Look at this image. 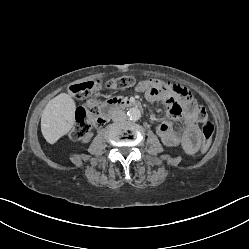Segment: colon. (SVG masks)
<instances>
[{"mask_svg": "<svg viewBox=\"0 0 249 249\" xmlns=\"http://www.w3.org/2000/svg\"><path fill=\"white\" fill-rule=\"evenodd\" d=\"M101 83L99 81H86L75 83L69 87L70 94L76 99H84L96 92ZM109 89H127L134 86L143 87L144 82H137L133 77L123 76L112 78L105 83ZM100 106L96 101H88L84 106L80 107L76 112V124L71 132V137L74 140L84 139L93 125L99 123ZM197 121L199 122L202 132V150L206 151L211 144L214 126L209 119L205 108H200L197 114Z\"/></svg>", "mask_w": 249, "mask_h": 249, "instance_id": "colon-1", "label": "colon"}]
</instances>
